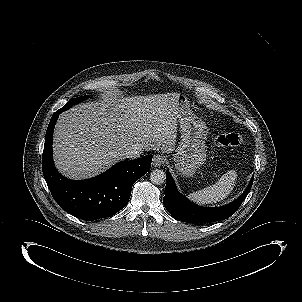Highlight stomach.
Here are the masks:
<instances>
[{
    "label": "stomach",
    "instance_id": "obj_1",
    "mask_svg": "<svg viewBox=\"0 0 302 302\" xmlns=\"http://www.w3.org/2000/svg\"><path fill=\"white\" fill-rule=\"evenodd\" d=\"M177 119L181 141L173 155L175 169L183 177H192L206 160L207 126L188 108V98L179 94Z\"/></svg>",
    "mask_w": 302,
    "mask_h": 302
}]
</instances>
